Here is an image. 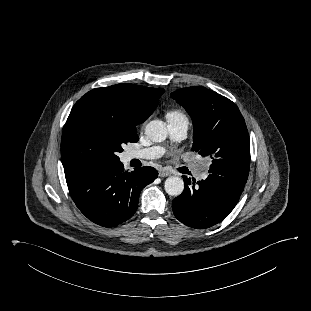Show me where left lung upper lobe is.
Here are the masks:
<instances>
[{
	"mask_svg": "<svg viewBox=\"0 0 311 311\" xmlns=\"http://www.w3.org/2000/svg\"><path fill=\"white\" fill-rule=\"evenodd\" d=\"M171 97L191 116L192 150L212 159L209 173L245 184L250 168L249 135L236 104L200 86L178 89Z\"/></svg>",
	"mask_w": 311,
	"mask_h": 311,
	"instance_id": "obj_1",
	"label": "left lung upper lobe"
}]
</instances>
